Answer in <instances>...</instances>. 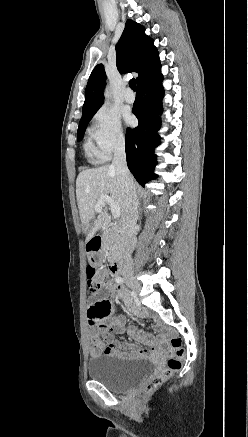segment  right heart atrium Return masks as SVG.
Returning <instances> with one entry per match:
<instances>
[{
    "mask_svg": "<svg viewBox=\"0 0 248 437\" xmlns=\"http://www.w3.org/2000/svg\"><path fill=\"white\" fill-rule=\"evenodd\" d=\"M89 134L101 159H108L115 150L125 144V133L119 115L106 107L94 114Z\"/></svg>",
    "mask_w": 248,
    "mask_h": 437,
    "instance_id": "1",
    "label": "right heart atrium"
}]
</instances>
